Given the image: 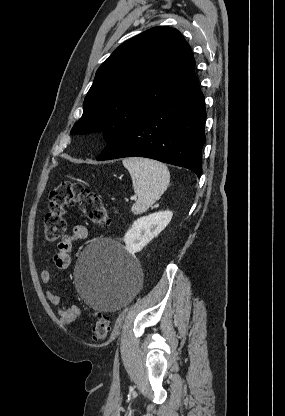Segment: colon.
I'll return each instance as SVG.
<instances>
[{"instance_id": "1", "label": "colon", "mask_w": 285, "mask_h": 416, "mask_svg": "<svg viewBox=\"0 0 285 416\" xmlns=\"http://www.w3.org/2000/svg\"><path fill=\"white\" fill-rule=\"evenodd\" d=\"M69 205L77 206L93 224L102 226L108 222L107 210L98 195L81 183L64 181L49 195L48 211L44 218L46 243H53L64 235L66 230L64 215ZM109 331V318L99 315L92 329V338L96 341L103 340Z\"/></svg>"}]
</instances>
